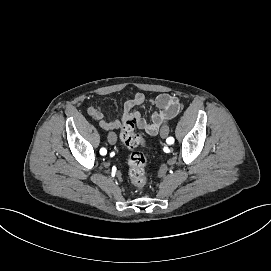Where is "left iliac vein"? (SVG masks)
<instances>
[{
    "label": "left iliac vein",
    "mask_w": 271,
    "mask_h": 271,
    "mask_svg": "<svg viewBox=\"0 0 271 271\" xmlns=\"http://www.w3.org/2000/svg\"><path fill=\"white\" fill-rule=\"evenodd\" d=\"M169 133V128L167 126H162L160 130V136L166 138Z\"/></svg>",
    "instance_id": "4c4485c4"
}]
</instances>
